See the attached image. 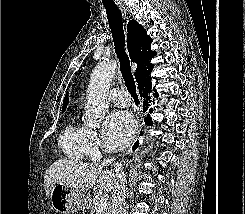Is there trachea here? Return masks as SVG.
Instances as JSON below:
<instances>
[{"instance_id":"trachea-1","label":"trachea","mask_w":245,"mask_h":214,"mask_svg":"<svg viewBox=\"0 0 245 214\" xmlns=\"http://www.w3.org/2000/svg\"><path fill=\"white\" fill-rule=\"evenodd\" d=\"M104 7L106 9V14L115 46V52L120 62L121 73L125 85L129 93L132 95L134 101L138 103L139 99L136 92L135 81L131 72L130 60L125 51V35L123 30V20L121 11L119 10L116 4L104 3Z\"/></svg>"}]
</instances>
